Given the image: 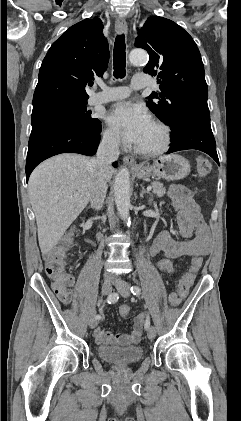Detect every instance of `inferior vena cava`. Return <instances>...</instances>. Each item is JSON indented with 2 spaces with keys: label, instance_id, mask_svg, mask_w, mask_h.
I'll use <instances>...</instances> for the list:
<instances>
[{
  "label": "inferior vena cava",
  "instance_id": "obj_1",
  "mask_svg": "<svg viewBox=\"0 0 241 421\" xmlns=\"http://www.w3.org/2000/svg\"><path fill=\"white\" fill-rule=\"evenodd\" d=\"M119 144L118 136H104L98 147L96 159L93 160L94 174L90 202L95 210L103 206L107 193V171L111 168V163L119 157Z\"/></svg>",
  "mask_w": 241,
  "mask_h": 421
}]
</instances>
